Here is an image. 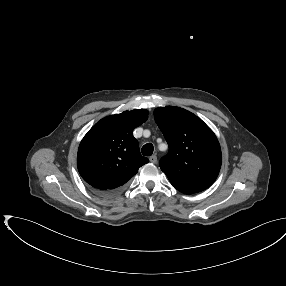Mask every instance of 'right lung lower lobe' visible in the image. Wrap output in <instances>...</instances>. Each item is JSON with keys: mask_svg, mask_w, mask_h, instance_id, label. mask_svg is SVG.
<instances>
[{"mask_svg": "<svg viewBox=\"0 0 286 286\" xmlns=\"http://www.w3.org/2000/svg\"><path fill=\"white\" fill-rule=\"evenodd\" d=\"M92 191L95 194H97L99 196H103V197H107V196H110V195H113V194L117 193V192H104V191L96 190V189H93V188H92Z\"/></svg>", "mask_w": 286, "mask_h": 286, "instance_id": "obj_1", "label": "right lung lower lobe"}]
</instances>
